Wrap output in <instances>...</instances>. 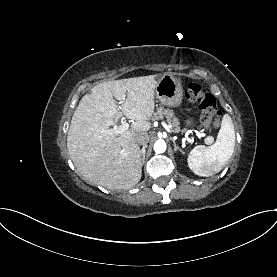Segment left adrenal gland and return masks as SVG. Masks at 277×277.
Returning <instances> with one entry per match:
<instances>
[{
    "label": "left adrenal gland",
    "instance_id": "a2214340",
    "mask_svg": "<svg viewBox=\"0 0 277 277\" xmlns=\"http://www.w3.org/2000/svg\"><path fill=\"white\" fill-rule=\"evenodd\" d=\"M171 140H172V142H173L174 152L179 151V152H181L182 154H184L183 150H182V149H180V148L176 145L175 140H174V139H172V138H171Z\"/></svg>",
    "mask_w": 277,
    "mask_h": 277
}]
</instances>
